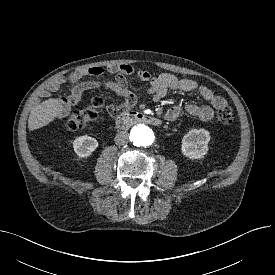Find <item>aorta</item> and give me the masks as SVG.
<instances>
[{"label": "aorta", "mask_w": 275, "mask_h": 275, "mask_svg": "<svg viewBox=\"0 0 275 275\" xmlns=\"http://www.w3.org/2000/svg\"><path fill=\"white\" fill-rule=\"evenodd\" d=\"M131 141L135 146H150L154 141L153 131L144 124L134 126L130 133Z\"/></svg>", "instance_id": "obj_1"}]
</instances>
